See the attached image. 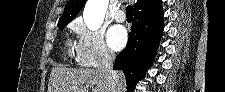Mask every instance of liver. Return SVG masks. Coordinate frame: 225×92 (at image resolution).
<instances>
[{
  "mask_svg": "<svg viewBox=\"0 0 225 92\" xmlns=\"http://www.w3.org/2000/svg\"><path fill=\"white\" fill-rule=\"evenodd\" d=\"M89 87H95L93 92H112L109 76L99 69H70L55 67L52 69L47 92H89ZM125 78L117 71L118 92H124Z\"/></svg>",
  "mask_w": 225,
  "mask_h": 92,
  "instance_id": "1",
  "label": "liver"
}]
</instances>
